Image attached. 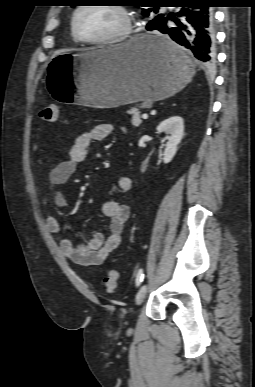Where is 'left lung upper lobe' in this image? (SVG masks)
Returning <instances> with one entry per match:
<instances>
[{
	"mask_svg": "<svg viewBox=\"0 0 255 387\" xmlns=\"http://www.w3.org/2000/svg\"><path fill=\"white\" fill-rule=\"evenodd\" d=\"M173 1L174 0H170V1H167V2H164L162 0H133L132 3L135 4V6H137V7H146L145 5H142V4H154V3H159V4L166 3V4H168V3H171ZM150 7H153V8L142 9L143 16L148 17V16L153 15V13H157L158 12V8L160 6L159 5H154V6H150ZM161 16H163V14H157L154 19L159 18ZM154 19H152V20H154ZM152 20H150V21H152Z\"/></svg>",
	"mask_w": 255,
	"mask_h": 387,
	"instance_id": "1",
	"label": "left lung upper lobe"
}]
</instances>
